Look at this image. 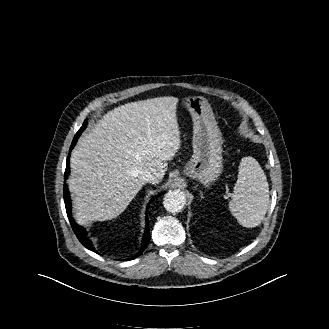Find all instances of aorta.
<instances>
[{
  "mask_svg": "<svg viewBox=\"0 0 329 329\" xmlns=\"http://www.w3.org/2000/svg\"><path fill=\"white\" fill-rule=\"evenodd\" d=\"M186 203V198L180 190L169 191L164 196V207L168 212L178 213L181 212Z\"/></svg>",
  "mask_w": 329,
  "mask_h": 329,
  "instance_id": "obj_1",
  "label": "aorta"
}]
</instances>
